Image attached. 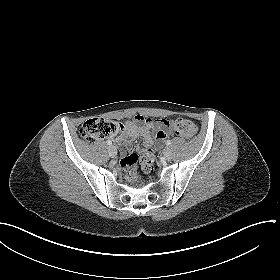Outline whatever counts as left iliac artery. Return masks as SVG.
Listing matches in <instances>:
<instances>
[{
	"label": "left iliac artery",
	"mask_w": 280,
	"mask_h": 280,
	"mask_svg": "<svg viewBox=\"0 0 280 280\" xmlns=\"http://www.w3.org/2000/svg\"><path fill=\"white\" fill-rule=\"evenodd\" d=\"M170 144H171V141H170V140H167V141H166V145L169 146Z\"/></svg>",
	"instance_id": "1"
}]
</instances>
